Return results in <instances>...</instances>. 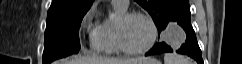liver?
I'll return each mask as SVG.
<instances>
[{"label":"liver","instance_id":"obj_1","mask_svg":"<svg viewBox=\"0 0 242 64\" xmlns=\"http://www.w3.org/2000/svg\"><path fill=\"white\" fill-rule=\"evenodd\" d=\"M149 58L139 57L132 59H113V58H101L97 56L81 57L76 56L72 59H66L57 61L54 64H143L148 63Z\"/></svg>","mask_w":242,"mask_h":64}]
</instances>
